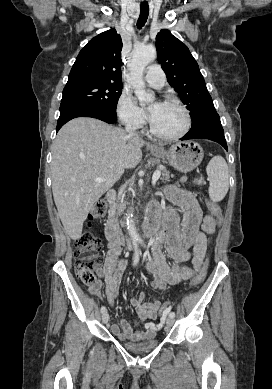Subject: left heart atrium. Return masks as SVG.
Instances as JSON below:
<instances>
[{"label": "left heart atrium", "instance_id": "obj_1", "mask_svg": "<svg viewBox=\"0 0 272 389\" xmlns=\"http://www.w3.org/2000/svg\"><path fill=\"white\" fill-rule=\"evenodd\" d=\"M149 115H150V119H151V115H152V113L150 112V114H149Z\"/></svg>", "mask_w": 272, "mask_h": 389}]
</instances>
